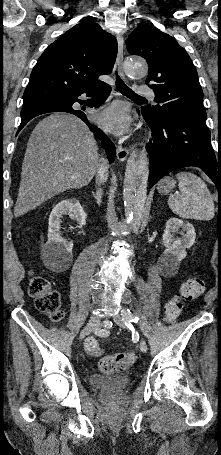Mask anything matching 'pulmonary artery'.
Instances as JSON below:
<instances>
[{
	"label": "pulmonary artery",
	"instance_id": "e3ab8cb5",
	"mask_svg": "<svg viewBox=\"0 0 221 455\" xmlns=\"http://www.w3.org/2000/svg\"><path fill=\"white\" fill-rule=\"evenodd\" d=\"M137 95L146 96V97H152L154 95V92L147 85H140L137 88Z\"/></svg>",
	"mask_w": 221,
	"mask_h": 455
}]
</instances>
